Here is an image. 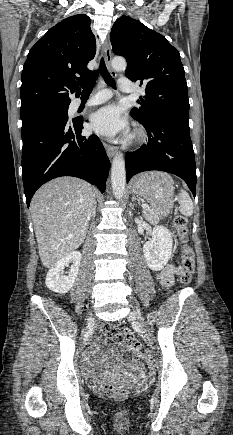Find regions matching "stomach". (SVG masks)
<instances>
[{
	"mask_svg": "<svg viewBox=\"0 0 233 435\" xmlns=\"http://www.w3.org/2000/svg\"><path fill=\"white\" fill-rule=\"evenodd\" d=\"M132 191L151 204L158 214L170 213L174 203V182L159 171L144 173L132 180Z\"/></svg>",
	"mask_w": 233,
	"mask_h": 435,
	"instance_id": "1",
	"label": "stomach"
}]
</instances>
